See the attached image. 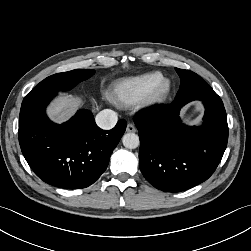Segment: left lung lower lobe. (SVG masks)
<instances>
[{
	"instance_id": "1",
	"label": "left lung lower lobe",
	"mask_w": 251,
	"mask_h": 251,
	"mask_svg": "<svg viewBox=\"0 0 251 251\" xmlns=\"http://www.w3.org/2000/svg\"><path fill=\"white\" fill-rule=\"evenodd\" d=\"M205 106L201 127L181 123L179 112L187 103ZM140 170L147 181L165 192L190 189L207 180L220 163L228 140L226 111L220 97L207 84L178 91L174 101L136 115Z\"/></svg>"
}]
</instances>
